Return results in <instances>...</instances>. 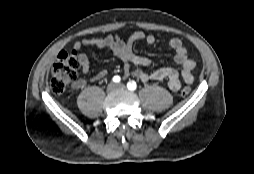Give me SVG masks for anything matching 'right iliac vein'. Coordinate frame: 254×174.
<instances>
[{"mask_svg": "<svg viewBox=\"0 0 254 174\" xmlns=\"http://www.w3.org/2000/svg\"><path fill=\"white\" fill-rule=\"evenodd\" d=\"M116 85L114 84V83H110L109 85H108V87H107V92L108 93H112V92H114L115 90H116Z\"/></svg>", "mask_w": 254, "mask_h": 174, "instance_id": "63e3f726", "label": "right iliac vein"}]
</instances>
